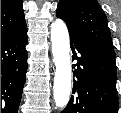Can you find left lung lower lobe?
Returning a JSON list of instances; mask_svg holds the SVG:
<instances>
[{
	"label": "left lung lower lobe",
	"instance_id": "0a47b994",
	"mask_svg": "<svg viewBox=\"0 0 121 113\" xmlns=\"http://www.w3.org/2000/svg\"><path fill=\"white\" fill-rule=\"evenodd\" d=\"M74 85L69 103L61 113H118L116 67L70 36Z\"/></svg>",
	"mask_w": 121,
	"mask_h": 113
}]
</instances>
